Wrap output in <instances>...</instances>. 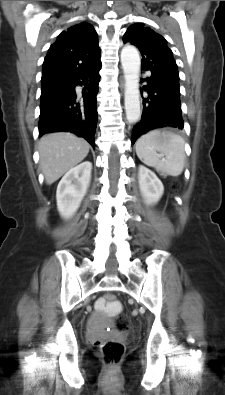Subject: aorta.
I'll return each mask as SVG.
<instances>
[{
	"mask_svg": "<svg viewBox=\"0 0 225 395\" xmlns=\"http://www.w3.org/2000/svg\"><path fill=\"white\" fill-rule=\"evenodd\" d=\"M121 64L125 78L124 105L129 123H136L141 117L139 72L141 60L138 50L127 45L121 51Z\"/></svg>",
	"mask_w": 225,
	"mask_h": 395,
	"instance_id": "obj_1",
	"label": "aorta"
}]
</instances>
